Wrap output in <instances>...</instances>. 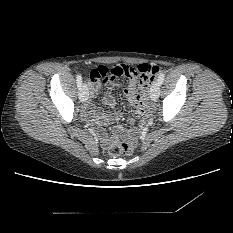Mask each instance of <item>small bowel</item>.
Instances as JSON below:
<instances>
[{
  "label": "small bowel",
  "instance_id": "small-bowel-1",
  "mask_svg": "<svg viewBox=\"0 0 233 233\" xmlns=\"http://www.w3.org/2000/svg\"><path fill=\"white\" fill-rule=\"evenodd\" d=\"M106 68H108L111 72V77L105 82L106 83V93L104 95L103 104L107 108H113L116 105V101L114 97L112 96V89L115 86L120 85L118 83V80L125 76L123 71V66L121 64H112V65H106ZM90 98L91 100L94 99L97 96V93L99 91L100 82H90ZM138 86V92L146 93V89L148 86V83H142L135 77H129L128 78V84L126 88L124 89V94L131 103L133 109H132V117L130 119V122H134L135 118L139 117L142 114L143 109L147 106L146 104H141L138 97L139 95L136 93V89ZM121 112L116 113H105L103 110L98 109L96 105L92 102H90L84 111V116L86 118H89L101 125L115 121L121 117ZM141 131V126H133L129 130H123L120 128L114 129V131L110 134H102L101 140L104 143H110L116 140H127L132 143H134Z\"/></svg>",
  "mask_w": 233,
  "mask_h": 233
}]
</instances>
